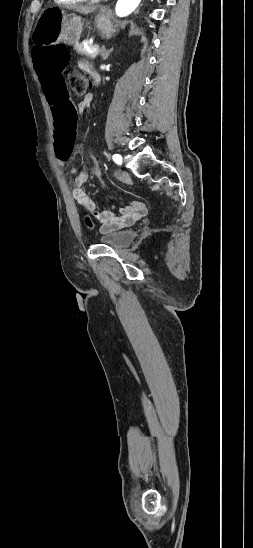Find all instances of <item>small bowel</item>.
I'll return each mask as SVG.
<instances>
[{"label":"small bowel","instance_id":"obj_1","mask_svg":"<svg viewBox=\"0 0 253 548\" xmlns=\"http://www.w3.org/2000/svg\"><path fill=\"white\" fill-rule=\"evenodd\" d=\"M81 66L90 71V67L86 63H82ZM41 80V79H40ZM46 97V96H45ZM93 103V95L87 94L76 106L77 114L80 111H84L89 108ZM51 107V105H50ZM56 157V156H55ZM57 163L60 166H67L70 169L71 174L75 176L73 189V197L77 205L84 211L89 212L93 217L101 223L100 231L107 232L111 230L120 229L132 225L139 218L143 217L146 213V207L141 201H133L130 205L121 208L119 212L115 211V205L111 204L109 210L98 211L94 201L87 195L82 188L83 184L88 180V174L85 171H79L74 165L70 163V158L63 159L57 158ZM87 223L91 226L92 222L87 219Z\"/></svg>","mask_w":253,"mask_h":548}]
</instances>
